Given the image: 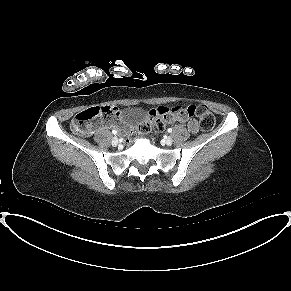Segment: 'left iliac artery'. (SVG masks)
I'll list each match as a JSON object with an SVG mask.
<instances>
[{
  "label": "left iliac artery",
  "mask_w": 291,
  "mask_h": 291,
  "mask_svg": "<svg viewBox=\"0 0 291 291\" xmlns=\"http://www.w3.org/2000/svg\"><path fill=\"white\" fill-rule=\"evenodd\" d=\"M167 131H168L169 133H171V132H172V129H171V128H169Z\"/></svg>",
  "instance_id": "44dca946"
}]
</instances>
